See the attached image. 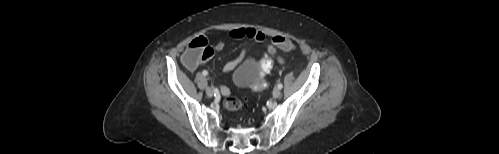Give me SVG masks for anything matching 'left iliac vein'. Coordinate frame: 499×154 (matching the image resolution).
I'll return each mask as SVG.
<instances>
[{"mask_svg": "<svg viewBox=\"0 0 499 154\" xmlns=\"http://www.w3.org/2000/svg\"><path fill=\"white\" fill-rule=\"evenodd\" d=\"M274 98H279L281 95V90L279 88H275L272 93Z\"/></svg>", "mask_w": 499, "mask_h": 154, "instance_id": "left-iliac-vein-1", "label": "left iliac vein"}]
</instances>
